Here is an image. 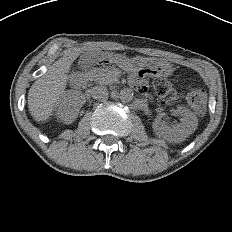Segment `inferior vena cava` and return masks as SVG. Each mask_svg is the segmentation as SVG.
<instances>
[{
	"label": "inferior vena cava",
	"mask_w": 232,
	"mask_h": 232,
	"mask_svg": "<svg viewBox=\"0 0 232 232\" xmlns=\"http://www.w3.org/2000/svg\"><path fill=\"white\" fill-rule=\"evenodd\" d=\"M108 90L105 86H95L92 89V96L95 99H107L108 98Z\"/></svg>",
	"instance_id": "obj_1"
}]
</instances>
